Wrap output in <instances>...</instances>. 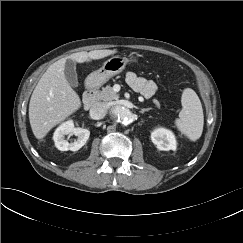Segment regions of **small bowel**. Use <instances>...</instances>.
Returning <instances> with one entry per match:
<instances>
[{
	"label": "small bowel",
	"mask_w": 243,
	"mask_h": 243,
	"mask_svg": "<svg viewBox=\"0 0 243 243\" xmlns=\"http://www.w3.org/2000/svg\"><path fill=\"white\" fill-rule=\"evenodd\" d=\"M126 82L132 89L146 98L153 96L157 90V85L154 81L147 80L133 72H128L126 74Z\"/></svg>",
	"instance_id": "obj_1"
}]
</instances>
